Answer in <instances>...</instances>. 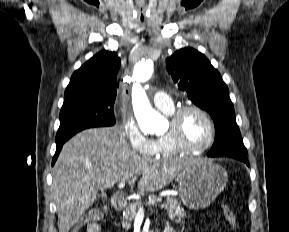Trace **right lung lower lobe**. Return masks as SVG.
I'll return each mask as SVG.
<instances>
[{
    "mask_svg": "<svg viewBox=\"0 0 289 232\" xmlns=\"http://www.w3.org/2000/svg\"><path fill=\"white\" fill-rule=\"evenodd\" d=\"M63 144H64V143H63ZM63 144H58V145H57L56 153H55V155H54V157H53V160H52V165H54V163H55V161H56V159H57V157H58V155H59V153H60V151H61V149H62Z\"/></svg>",
    "mask_w": 289,
    "mask_h": 232,
    "instance_id": "obj_1",
    "label": "right lung lower lobe"
}]
</instances>
